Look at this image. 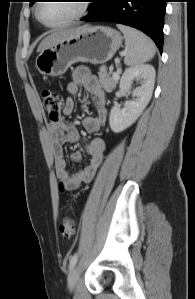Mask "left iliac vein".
<instances>
[{"label": "left iliac vein", "mask_w": 195, "mask_h": 299, "mask_svg": "<svg viewBox=\"0 0 195 299\" xmlns=\"http://www.w3.org/2000/svg\"><path fill=\"white\" fill-rule=\"evenodd\" d=\"M79 276H80L79 266L73 267L68 276V288L71 291L75 289L78 283Z\"/></svg>", "instance_id": "left-iliac-vein-1"}]
</instances>
